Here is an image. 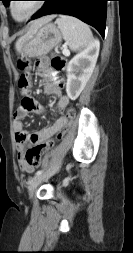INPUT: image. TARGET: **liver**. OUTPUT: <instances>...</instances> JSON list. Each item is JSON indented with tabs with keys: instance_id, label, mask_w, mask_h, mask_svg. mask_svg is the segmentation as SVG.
<instances>
[{
	"instance_id": "obj_1",
	"label": "liver",
	"mask_w": 133,
	"mask_h": 253,
	"mask_svg": "<svg viewBox=\"0 0 133 253\" xmlns=\"http://www.w3.org/2000/svg\"><path fill=\"white\" fill-rule=\"evenodd\" d=\"M55 17V15H48L45 17H42L40 19L35 20L34 22H32L29 30L27 31L26 34H24L23 36H21L15 43V48L17 51H19L21 45L29 38L31 37L41 26H43L44 24H47L48 22H50L53 18Z\"/></svg>"
}]
</instances>
